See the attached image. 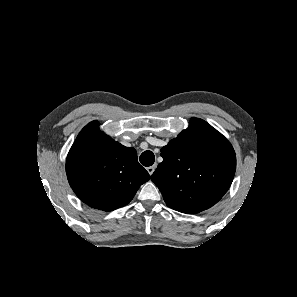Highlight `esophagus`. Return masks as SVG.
<instances>
[{
  "mask_svg": "<svg viewBox=\"0 0 297 297\" xmlns=\"http://www.w3.org/2000/svg\"><path fill=\"white\" fill-rule=\"evenodd\" d=\"M146 170L149 173V175H152L155 170V166H149L146 168Z\"/></svg>",
  "mask_w": 297,
  "mask_h": 297,
  "instance_id": "obj_1",
  "label": "esophagus"
}]
</instances>
